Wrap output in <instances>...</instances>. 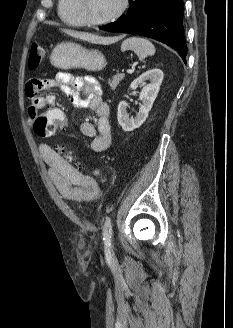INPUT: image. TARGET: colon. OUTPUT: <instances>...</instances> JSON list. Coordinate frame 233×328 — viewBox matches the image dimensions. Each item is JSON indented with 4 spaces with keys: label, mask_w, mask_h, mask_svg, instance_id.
<instances>
[{
    "label": "colon",
    "mask_w": 233,
    "mask_h": 328,
    "mask_svg": "<svg viewBox=\"0 0 233 328\" xmlns=\"http://www.w3.org/2000/svg\"><path fill=\"white\" fill-rule=\"evenodd\" d=\"M45 56V50L42 45L34 43L31 46L28 67L31 70L37 69ZM68 125V116L61 109H51L46 113L39 114L33 120V129L36 135L40 137H52L57 131L64 129ZM55 150L74 167H78L75 158L68 152L63 145H56Z\"/></svg>",
    "instance_id": "colon-1"
}]
</instances>
